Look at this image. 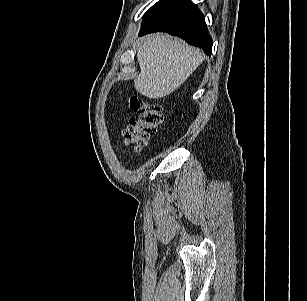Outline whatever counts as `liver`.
<instances>
[{
	"mask_svg": "<svg viewBox=\"0 0 307 301\" xmlns=\"http://www.w3.org/2000/svg\"><path fill=\"white\" fill-rule=\"evenodd\" d=\"M205 55L184 41L164 34L147 35L137 51L140 73L135 89L150 99L175 91L202 63Z\"/></svg>",
	"mask_w": 307,
	"mask_h": 301,
	"instance_id": "obj_1",
	"label": "liver"
}]
</instances>
